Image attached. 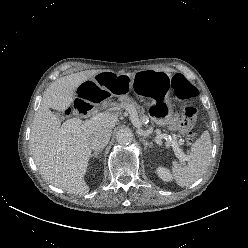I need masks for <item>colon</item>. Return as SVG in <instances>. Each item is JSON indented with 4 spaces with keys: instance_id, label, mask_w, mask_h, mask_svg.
I'll use <instances>...</instances> for the list:
<instances>
[{
    "instance_id": "obj_1",
    "label": "colon",
    "mask_w": 248,
    "mask_h": 248,
    "mask_svg": "<svg viewBox=\"0 0 248 248\" xmlns=\"http://www.w3.org/2000/svg\"><path fill=\"white\" fill-rule=\"evenodd\" d=\"M171 87L174 97L185 101V104L182 107V113L185 120L181 123L191 124V120L196 114V108L189 101L197 96V89L181 74H176L173 77ZM188 129L186 130V141L188 144H192L196 138V134Z\"/></svg>"
}]
</instances>
